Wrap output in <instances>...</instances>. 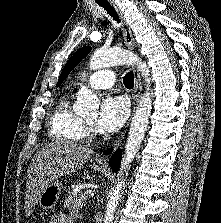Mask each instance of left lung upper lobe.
Listing matches in <instances>:
<instances>
[{
	"instance_id": "1",
	"label": "left lung upper lobe",
	"mask_w": 221,
	"mask_h": 223,
	"mask_svg": "<svg viewBox=\"0 0 221 223\" xmlns=\"http://www.w3.org/2000/svg\"><path fill=\"white\" fill-rule=\"evenodd\" d=\"M91 47H83L79 49L66 63L63 68L59 80L57 82V86H59L64 79L68 76V74L74 69V67L90 52Z\"/></svg>"
}]
</instances>
